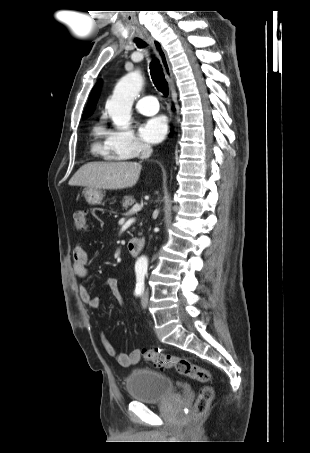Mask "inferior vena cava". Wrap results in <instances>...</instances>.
Returning <instances> with one entry per match:
<instances>
[{"label": "inferior vena cava", "instance_id": "obj_1", "mask_svg": "<svg viewBox=\"0 0 310 453\" xmlns=\"http://www.w3.org/2000/svg\"><path fill=\"white\" fill-rule=\"evenodd\" d=\"M152 154V148L148 144L142 146L141 159H147Z\"/></svg>", "mask_w": 310, "mask_h": 453}]
</instances>
